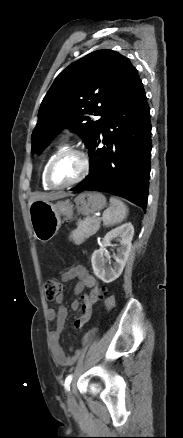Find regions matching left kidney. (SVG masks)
I'll list each match as a JSON object with an SVG mask.
<instances>
[{"mask_svg": "<svg viewBox=\"0 0 183 438\" xmlns=\"http://www.w3.org/2000/svg\"><path fill=\"white\" fill-rule=\"evenodd\" d=\"M134 235V227L131 223H125L115 229L109 231L102 242L99 250H95L92 254L91 262L94 274L105 283H111L116 280L122 273L126 261L128 260L131 251V241ZM118 240L120 247L117 249V255L114 256L115 263L113 268H107L104 259L105 247L110 244L112 240Z\"/></svg>", "mask_w": 183, "mask_h": 438, "instance_id": "5707ae66", "label": "left kidney"}]
</instances>
